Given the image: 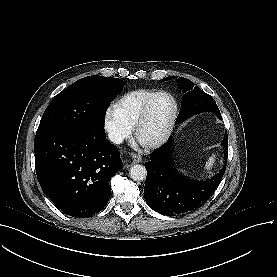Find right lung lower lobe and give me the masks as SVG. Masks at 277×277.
I'll return each mask as SVG.
<instances>
[{
	"label": "right lung lower lobe",
	"instance_id": "right-lung-lower-lobe-1",
	"mask_svg": "<svg viewBox=\"0 0 277 277\" xmlns=\"http://www.w3.org/2000/svg\"><path fill=\"white\" fill-rule=\"evenodd\" d=\"M36 174L43 192L63 212L88 218L110 197V179L123 168L104 128L61 129L35 136Z\"/></svg>",
	"mask_w": 277,
	"mask_h": 277
}]
</instances>
